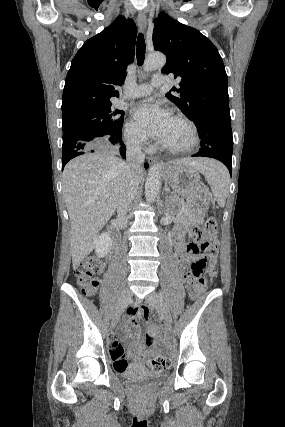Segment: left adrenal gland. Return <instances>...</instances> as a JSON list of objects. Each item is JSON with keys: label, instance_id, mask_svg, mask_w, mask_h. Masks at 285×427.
<instances>
[{"label": "left adrenal gland", "instance_id": "a2214340", "mask_svg": "<svg viewBox=\"0 0 285 427\" xmlns=\"http://www.w3.org/2000/svg\"><path fill=\"white\" fill-rule=\"evenodd\" d=\"M164 192H169V189L167 186H165L164 188ZM172 196H167L166 200H165V208H168L170 205V200H171Z\"/></svg>", "mask_w": 285, "mask_h": 427}]
</instances>
